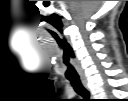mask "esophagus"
<instances>
[{
  "label": "esophagus",
  "instance_id": "34e87169",
  "mask_svg": "<svg viewBox=\"0 0 128 101\" xmlns=\"http://www.w3.org/2000/svg\"><path fill=\"white\" fill-rule=\"evenodd\" d=\"M81 82H82L83 86L89 91V86H88L87 78L82 77L81 78Z\"/></svg>",
  "mask_w": 128,
  "mask_h": 101
}]
</instances>
